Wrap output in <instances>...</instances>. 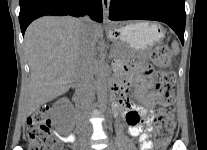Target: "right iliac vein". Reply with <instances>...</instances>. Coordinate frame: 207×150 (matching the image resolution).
I'll return each mask as SVG.
<instances>
[{
	"label": "right iliac vein",
	"instance_id": "right-iliac-vein-1",
	"mask_svg": "<svg viewBox=\"0 0 207 150\" xmlns=\"http://www.w3.org/2000/svg\"><path fill=\"white\" fill-rule=\"evenodd\" d=\"M80 150H88V148L86 147L85 144H82Z\"/></svg>",
	"mask_w": 207,
	"mask_h": 150
}]
</instances>
